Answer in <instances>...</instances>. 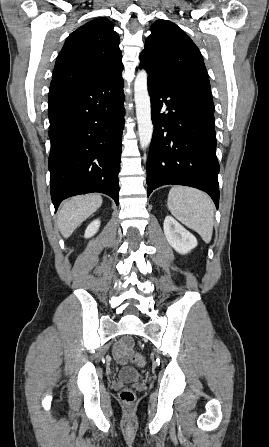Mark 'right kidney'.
Wrapping results in <instances>:
<instances>
[{
  "instance_id": "obj_1",
  "label": "right kidney",
  "mask_w": 269,
  "mask_h": 447,
  "mask_svg": "<svg viewBox=\"0 0 269 447\" xmlns=\"http://www.w3.org/2000/svg\"><path fill=\"white\" fill-rule=\"evenodd\" d=\"M100 227L99 220H94V222H91V224L87 225L85 229V237H92L96 231H98Z\"/></svg>"
}]
</instances>
